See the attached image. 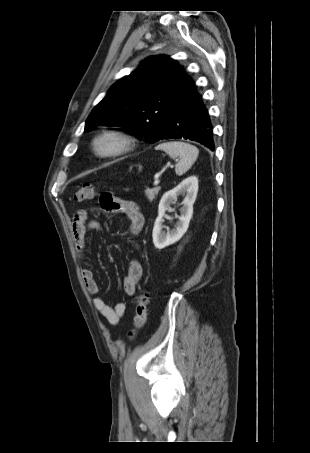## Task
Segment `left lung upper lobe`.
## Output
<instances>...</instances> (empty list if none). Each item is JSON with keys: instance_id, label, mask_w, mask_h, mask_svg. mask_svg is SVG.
I'll return each instance as SVG.
<instances>
[{"instance_id": "5c2ea615", "label": "left lung upper lobe", "mask_w": 310, "mask_h": 453, "mask_svg": "<svg viewBox=\"0 0 310 453\" xmlns=\"http://www.w3.org/2000/svg\"><path fill=\"white\" fill-rule=\"evenodd\" d=\"M188 79L168 56L147 58L111 87L89 115L85 131L99 124L118 125L149 143L159 141Z\"/></svg>"}]
</instances>
